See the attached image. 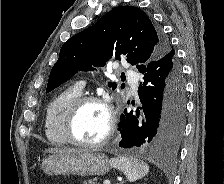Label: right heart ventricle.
I'll return each instance as SVG.
<instances>
[{"mask_svg": "<svg viewBox=\"0 0 224 184\" xmlns=\"http://www.w3.org/2000/svg\"><path fill=\"white\" fill-rule=\"evenodd\" d=\"M81 95V90L76 86L68 87L61 91L49 104L45 116V135L54 145L67 144L63 131L66 112L72 102Z\"/></svg>", "mask_w": 224, "mask_h": 184, "instance_id": "obj_1", "label": "right heart ventricle"}]
</instances>
